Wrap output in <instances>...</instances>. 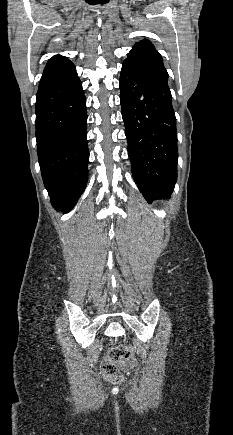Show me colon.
<instances>
[{"label": "colon", "mask_w": 233, "mask_h": 435, "mask_svg": "<svg viewBox=\"0 0 233 435\" xmlns=\"http://www.w3.org/2000/svg\"><path fill=\"white\" fill-rule=\"evenodd\" d=\"M133 349L129 345L120 344L110 349L108 360L103 365V377L109 383H118L124 380L117 363L131 359Z\"/></svg>", "instance_id": "colon-1"}]
</instances>
